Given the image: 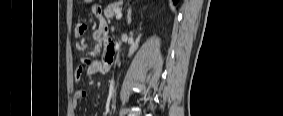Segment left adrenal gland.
Masks as SVG:
<instances>
[{
  "mask_svg": "<svg viewBox=\"0 0 283 116\" xmlns=\"http://www.w3.org/2000/svg\"><path fill=\"white\" fill-rule=\"evenodd\" d=\"M131 15H132V10L131 8L128 9V13H127V24L130 25L131 23Z\"/></svg>",
  "mask_w": 283,
  "mask_h": 116,
  "instance_id": "obj_1",
  "label": "left adrenal gland"
}]
</instances>
